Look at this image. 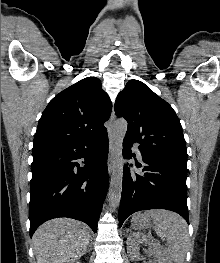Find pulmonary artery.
Listing matches in <instances>:
<instances>
[{
  "label": "pulmonary artery",
  "instance_id": "1",
  "mask_svg": "<svg viewBox=\"0 0 220 263\" xmlns=\"http://www.w3.org/2000/svg\"><path fill=\"white\" fill-rule=\"evenodd\" d=\"M135 149H136V151H137L138 157L141 159V158H142V155H141L140 150L138 149V145H137V144H135Z\"/></svg>",
  "mask_w": 220,
  "mask_h": 263
}]
</instances>
